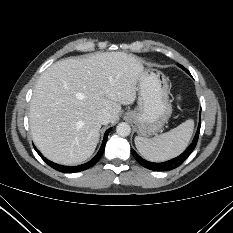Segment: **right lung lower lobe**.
Instances as JSON below:
<instances>
[{"label": "right lung lower lobe", "instance_id": "obj_1", "mask_svg": "<svg viewBox=\"0 0 233 233\" xmlns=\"http://www.w3.org/2000/svg\"><path fill=\"white\" fill-rule=\"evenodd\" d=\"M111 131V128L108 129L105 134H104V138H103V142L102 145L98 151V153L94 156L93 159H91L89 162L79 165V166H62V165H58L56 163H53L49 160H47L45 157L42 156V154L35 148L36 152L41 156V158L52 168H54L57 171L63 172V173H75L78 171H83L86 170L90 167H92L93 165L96 164V162L100 159V157L102 156L104 150H105V145H106V141H107V137L109 132Z\"/></svg>", "mask_w": 233, "mask_h": 233}]
</instances>
